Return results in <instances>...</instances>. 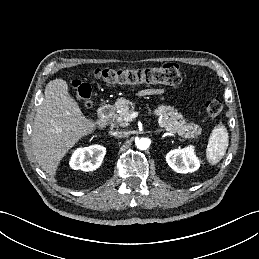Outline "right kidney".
<instances>
[{
    "label": "right kidney",
    "mask_w": 259,
    "mask_h": 259,
    "mask_svg": "<svg viewBox=\"0 0 259 259\" xmlns=\"http://www.w3.org/2000/svg\"><path fill=\"white\" fill-rule=\"evenodd\" d=\"M106 154V148L101 145L78 148L72 154L70 167L74 170L93 171L99 168Z\"/></svg>",
    "instance_id": "ca27d5eb"
}]
</instances>
